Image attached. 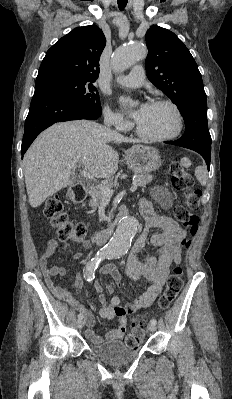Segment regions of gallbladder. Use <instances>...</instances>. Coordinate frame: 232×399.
<instances>
[{
  "instance_id": "1",
  "label": "gallbladder",
  "mask_w": 232,
  "mask_h": 399,
  "mask_svg": "<svg viewBox=\"0 0 232 399\" xmlns=\"http://www.w3.org/2000/svg\"><path fill=\"white\" fill-rule=\"evenodd\" d=\"M72 182H74V184H76V182H77L76 178H73Z\"/></svg>"
}]
</instances>
